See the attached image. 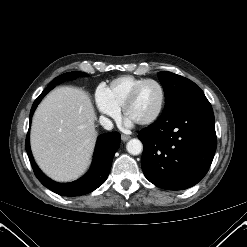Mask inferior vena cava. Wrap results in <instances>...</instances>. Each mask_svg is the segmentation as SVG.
Listing matches in <instances>:
<instances>
[{
  "instance_id": "obj_1",
  "label": "inferior vena cava",
  "mask_w": 247,
  "mask_h": 247,
  "mask_svg": "<svg viewBox=\"0 0 247 247\" xmlns=\"http://www.w3.org/2000/svg\"><path fill=\"white\" fill-rule=\"evenodd\" d=\"M99 122H100L101 126L106 130H111L113 128L112 121L105 116H100Z\"/></svg>"
}]
</instances>
